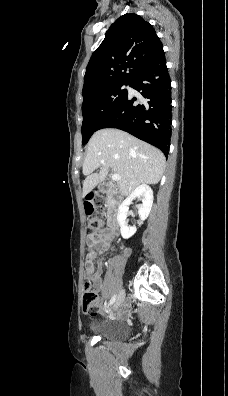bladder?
Instances as JSON below:
<instances>
[{
  "label": "bladder",
  "mask_w": 228,
  "mask_h": 396,
  "mask_svg": "<svg viewBox=\"0 0 228 396\" xmlns=\"http://www.w3.org/2000/svg\"><path fill=\"white\" fill-rule=\"evenodd\" d=\"M90 331L102 339L111 341H121L129 336L128 327L118 321H111L105 324H91Z\"/></svg>",
  "instance_id": "obj_1"
}]
</instances>
